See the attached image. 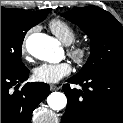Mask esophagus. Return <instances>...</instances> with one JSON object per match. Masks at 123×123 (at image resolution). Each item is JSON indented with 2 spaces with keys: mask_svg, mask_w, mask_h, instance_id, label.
<instances>
[{
  "mask_svg": "<svg viewBox=\"0 0 123 123\" xmlns=\"http://www.w3.org/2000/svg\"><path fill=\"white\" fill-rule=\"evenodd\" d=\"M59 89H60V87L57 86V85H53V84L50 85V90L51 91H56V90H59Z\"/></svg>",
  "mask_w": 123,
  "mask_h": 123,
  "instance_id": "1",
  "label": "esophagus"
}]
</instances>
